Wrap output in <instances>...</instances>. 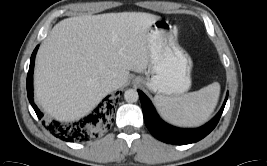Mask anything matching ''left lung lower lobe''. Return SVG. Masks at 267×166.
I'll return each mask as SVG.
<instances>
[{"label": "left lung lower lobe", "mask_w": 267, "mask_h": 166, "mask_svg": "<svg viewBox=\"0 0 267 166\" xmlns=\"http://www.w3.org/2000/svg\"><path fill=\"white\" fill-rule=\"evenodd\" d=\"M138 93L142 105L144 121L148 130L158 140L175 145L194 143L207 136L217 125L228 98L227 95L218 114L207 124L196 129H182L171 126L161 120L146 95L140 90H138Z\"/></svg>", "instance_id": "1"}]
</instances>
